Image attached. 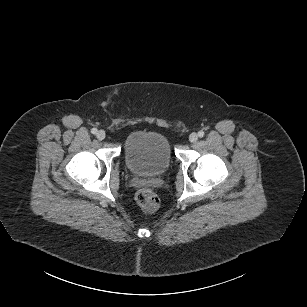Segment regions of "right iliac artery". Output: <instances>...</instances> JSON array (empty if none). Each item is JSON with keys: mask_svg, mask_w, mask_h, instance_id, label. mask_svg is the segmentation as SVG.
Instances as JSON below:
<instances>
[{"mask_svg": "<svg viewBox=\"0 0 307 307\" xmlns=\"http://www.w3.org/2000/svg\"><path fill=\"white\" fill-rule=\"evenodd\" d=\"M97 131H98V130H97L96 128H93V129L91 130V133H92V134H96Z\"/></svg>", "mask_w": 307, "mask_h": 307, "instance_id": "obj_1", "label": "right iliac artery"}]
</instances>
